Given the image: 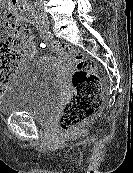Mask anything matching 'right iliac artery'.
I'll return each mask as SVG.
<instances>
[{
	"label": "right iliac artery",
	"instance_id": "1",
	"mask_svg": "<svg viewBox=\"0 0 133 173\" xmlns=\"http://www.w3.org/2000/svg\"><path fill=\"white\" fill-rule=\"evenodd\" d=\"M32 16L35 18L37 23V28L39 30L40 36L43 38H46L48 36L47 30L44 26V22L41 20V18L37 15V12L35 13L34 8H32Z\"/></svg>",
	"mask_w": 133,
	"mask_h": 173
}]
</instances>
